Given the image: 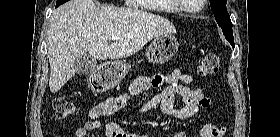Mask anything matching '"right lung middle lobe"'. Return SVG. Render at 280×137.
<instances>
[{"mask_svg":"<svg viewBox=\"0 0 280 137\" xmlns=\"http://www.w3.org/2000/svg\"><path fill=\"white\" fill-rule=\"evenodd\" d=\"M68 0H57L56 7L60 6L61 4L65 3Z\"/></svg>","mask_w":280,"mask_h":137,"instance_id":"1","label":"right lung middle lobe"}]
</instances>
